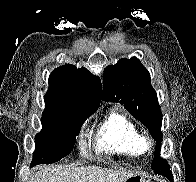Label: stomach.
Instances as JSON below:
<instances>
[{
    "mask_svg": "<svg viewBox=\"0 0 196 182\" xmlns=\"http://www.w3.org/2000/svg\"><path fill=\"white\" fill-rule=\"evenodd\" d=\"M125 182H150V179H146L144 175L137 173L127 178Z\"/></svg>",
    "mask_w": 196,
    "mask_h": 182,
    "instance_id": "0dacf381",
    "label": "stomach"
}]
</instances>
